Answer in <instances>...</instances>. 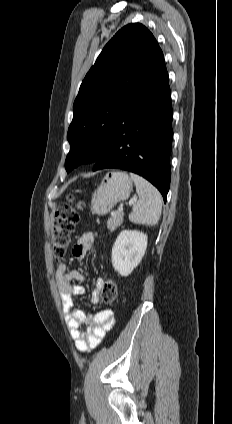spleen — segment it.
Segmentation results:
<instances>
[{"label": "spleen", "mask_w": 232, "mask_h": 424, "mask_svg": "<svg viewBox=\"0 0 232 424\" xmlns=\"http://www.w3.org/2000/svg\"><path fill=\"white\" fill-rule=\"evenodd\" d=\"M136 186L138 201L133 204L129 220L136 224L154 226L158 223L162 211L160 192L143 177L130 173Z\"/></svg>", "instance_id": "1"}]
</instances>
